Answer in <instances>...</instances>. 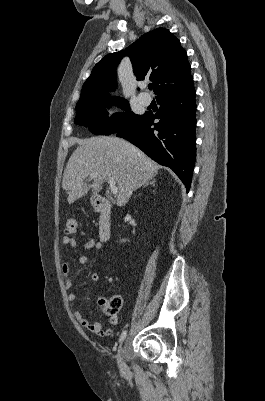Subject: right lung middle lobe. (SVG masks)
<instances>
[{
    "label": "right lung middle lobe",
    "instance_id": "obj_1",
    "mask_svg": "<svg viewBox=\"0 0 265 401\" xmlns=\"http://www.w3.org/2000/svg\"><path fill=\"white\" fill-rule=\"evenodd\" d=\"M118 103L126 112L107 116L109 102ZM77 115L74 123L88 126L95 135H110L128 128L143 118L130 111L128 101L123 98L101 95L76 106Z\"/></svg>",
    "mask_w": 265,
    "mask_h": 401
}]
</instances>
